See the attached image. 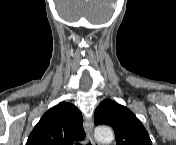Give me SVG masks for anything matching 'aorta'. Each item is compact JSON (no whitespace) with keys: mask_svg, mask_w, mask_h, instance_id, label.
Here are the masks:
<instances>
[{"mask_svg":"<svg viewBox=\"0 0 176 145\" xmlns=\"http://www.w3.org/2000/svg\"><path fill=\"white\" fill-rule=\"evenodd\" d=\"M95 138L102 143H110L114 139V133L109 127L99 126L95 129Z\"/></svg>","mask_w":176,"mask_h":145,"instance_id":"1","label":"aorta"}]
</instances>
